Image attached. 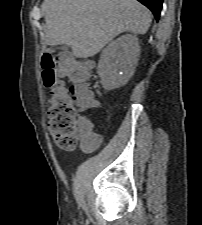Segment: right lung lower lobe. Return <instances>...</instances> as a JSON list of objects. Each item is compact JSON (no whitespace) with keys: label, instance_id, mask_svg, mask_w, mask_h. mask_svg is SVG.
Wrapping results in <instances>:
<instances>
[{"label":"right lung lower lobe","instance_id":"right-lung-lower-lobe-1","mask_svg":"<svg viewBox=\"0 0 202 225\" xmlns=\"http://www.w3.org/2000/svg\"><path fill=\"white\" fill-rule=\"evenodd\" d=\"M138 1L144 4L152 11L156 20L159 19L163 0H138Z\"/></svg>","mask_w":202,"mask_h":225}]
</instances>
